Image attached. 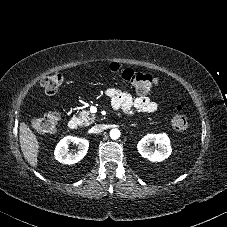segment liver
Instances as JSON below:
<instances>
[{
    "mask_svg": "<svg viewBox=\"0 0 227 227\" xmlns=\"http://www.w3.org/2000/svg\"><path fill=\"white\" fill-rule=\"evenodd\" d=\"M19 140L24 158L32 167L36 168L38 165L39 142L24 122L20 123Z\"/></svg>",
    "mask_w": 227,
    "mask_h": 227,
    "instance_id": "6515ba94",
    "label": "liver"
}]
</instances>
